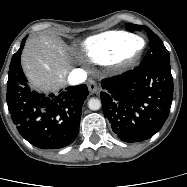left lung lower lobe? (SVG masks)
I'll return each mask as SVG.
<instances>
[{
    "mask_svg": "<svg viewBox=\"0 0 187 187\" xmlns=\"http://www.w3.org/2000/svg\"><path fill=\"white\" fill-rule=\"evenodd\" d=\"M101 85L103 113L122 141H144L165 123L173 99L170 64H140Z\"/></svg>",
    "mask_w": 187,
    "mask_h": 187,
    "instance_id": "0a47b994",
    "label": "left lung lower lobe"
}]
</instances>
